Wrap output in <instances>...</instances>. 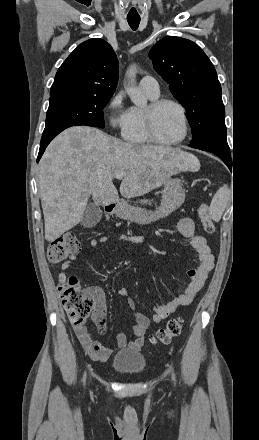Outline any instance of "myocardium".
<instances>
[{
  "mask_svg": "<svg viewBox=\"0 0 259 440\" xmlns=\"http://www.w3.org/2000/svg\"><path fill=\"white\" fill-rule=\"evenodd\" d=\"M167 104L174 105L179 109L181 117H182V121H183V134L179 139L174 140V141L162 140L158 136V134L156 132V127H155V118H156L157 112L163 106H165ZM144 121H145L146 132H147L149 139L151 140V142L158 144V145H162V146L178 145V144L182 143L183 141H185V139L187 138V136L189 134V120H188L186 108L184 107V105L182 103H180L179 101H177L175 99L159 98V99L153 100L150 103V105L144 110Z\"/></svg>",
  "mask_w": 259,
  "mask_h": 440,
  "instance_id": "f54148a6",
  "label": "myocardium"
}]
</instances>
